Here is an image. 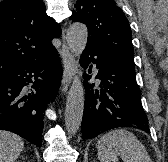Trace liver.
<instances>
[{"instance_id": "6515ba94", "label": "liver", "mask_w": 168, "mask_h": 162, "mask_svg": "<svg viewBox=\"0 0 168 162\" xmlns=\"http://www.w3.org/2000/svg\"><path fill=\"white\" fill-rule=\"evenodd\" d=\"M24 147L23 139L9 131L0 130V162H14Z\"/></svg>"}]
</instances>
